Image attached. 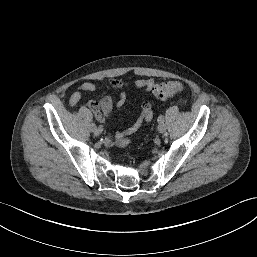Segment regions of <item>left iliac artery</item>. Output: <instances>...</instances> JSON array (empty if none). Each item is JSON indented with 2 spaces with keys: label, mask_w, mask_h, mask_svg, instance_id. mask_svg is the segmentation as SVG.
<instances>
[{
  "label": "left iliac artery",
  "mask_w": 257,
  "mask_h": 257,
  "mask_svg": "<svg viewBox=\"0 0 257 257\" xmlns=\"http://www.w3.org/2000/svg\"><path fill=\"white\" fill-rule=\"evenodd\" d=\"M158 123H163L164 122V116L160 115L157 119Z\"/></svg>",
  "instance_id": "1"
}]
</instances>
